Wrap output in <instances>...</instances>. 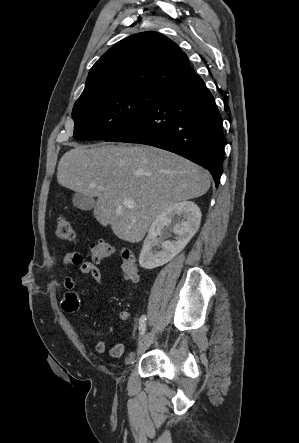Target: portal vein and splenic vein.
<instances>
[{
    "mask_svg": "<svg viewBox=\"0 0 299 443\" xmlns=\"http://www.w3.org/2000/svg\"><path fill=\"white\" fill-rule=\"evenodd\" d=\"M99 190H104V188L103 187H99ZM124 206H126V207H133L134 205H135V203H134V201L133 200H130V199H126V200H124L123 201V203H122Z\"/></svg>",
    "mask_w": 299,
    "mask_h": 443,
    "instance_id": "1",
    "label": "portal vein and splenic vein"
}]
</instances>
